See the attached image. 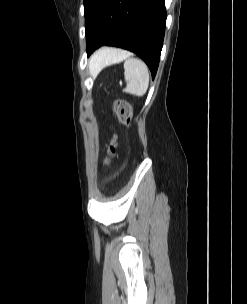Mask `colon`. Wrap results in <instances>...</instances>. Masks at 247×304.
I'll return each mask as SVG.
<instances>
[{"instance_id":"colon-1","label":"colon","mask_w":247,"mask_h":304,"mask_svg":"<svg viewBox=\"0 0 247 304\" xmlns=\"http://www.w3.org/2000/svg\"><path fill=\"white\" fill-rule=\"evenodd\" d=\"M115 110L123 121L128 122L130 120L132 107L128 102L123 100L117 101L115 103ZM114 148H115V142L112 141L108 149L109 155L113 154Z\"/></svg>"}]
</instances>
